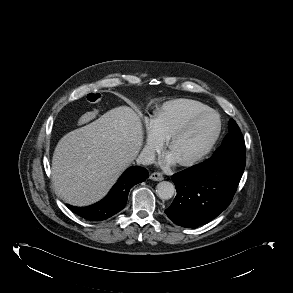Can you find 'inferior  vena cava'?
I'll list each match as a JSON object with an SVG mask.
<instances>
[{
  "label": "inferior vena cava",
  "mask_w": 293,
  "mask_h": 293,
  "mask_svg": "<svg viewBox=\"0 0 293 293\" xmlns=\"http://www.w3.org/2000/svg\"><path fill=\"white\" fill-rule=\"evenodd\" d=\"M137 164L151 165L155 162V152L150 148H144L137 158Z\"/></svg>",
  "instance_id": "obj_1"
}]
</instances>
